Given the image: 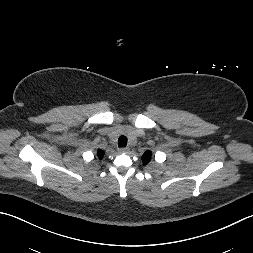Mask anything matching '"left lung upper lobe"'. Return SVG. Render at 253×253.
I'll return each instance as SVG.
<instances>
[{
  "mask_svg": "<svg viewBox=\"0 0 253 253\" xmlns=\"http://www.w3.org/2000/svg\"><path fill=\"white\" fill-rule=\"evenodd\" d=\"M150 159H151V152L150 151L145 152L142 156L144 164H147L150 161Z\"/></svg>",
  "mask_w": 253,
  "mask_h": 253,
  "instance_id": "left-lung-upper-lobe-1",
  "label": "left lung upper lobe"
}]
</instances>
